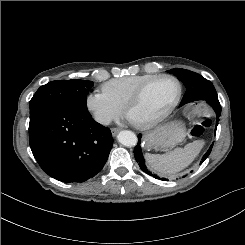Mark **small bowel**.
<instances>
[{
    "instance_id": "small-bowel-1",
    "label": "small bowel",
    "mask_w": 245,
    "mask_h": 245,
    "mask_svg": "<svg viewBox=\"0 0 245 245\" xmlns=\"http://www.w3.org/2000/svg\"><path fill=\"white\" fill-rule=\"evenodd\" d=\"M203 109V103L198 100L188 102L185 107L186 113L191 116L201 114Z\"/></svg>"
}]
</instances>
